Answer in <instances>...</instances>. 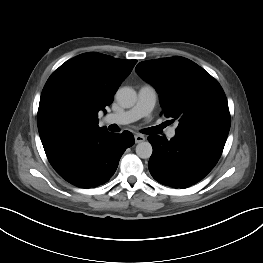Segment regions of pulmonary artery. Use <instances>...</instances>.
<instances>
[{"label":"pulmonary artery","mask_w":263,"mask_h":263,"mask_svg":"<svg viewBox=\"0 0 263 263\" xmlns=\"http://www.w3.org/2000/svg\"><path fill=\"white\" fill-rule=\"evenodd\" d=\"M157 92L151 85H143L138 91L136 104L126 110L117 113H111L104 117L106 123L128 124L148 116L156 103ZM176 135L175 127L167 131L168 138H174Z\"/></svg>","instance_id":"pulmonary-artery-1"}]
</instances>
